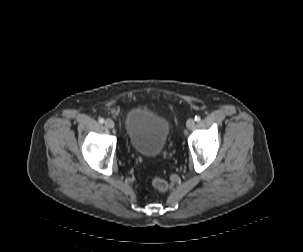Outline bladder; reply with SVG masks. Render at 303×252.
Listing matches in <instances>:
<instances>
[{
    "label": "bladder",
    "instance_id": "31cf9c89",
    "mask_svg": "<svg viewBox=\"0 0 303 252\" xmlns=\"http://www.w3.org/2000/svg\"><path fill=\"white\" fill-rule=\"evenodd\" d=\"M170 131L166 119L145 109H132L125 117V132L129 146L145 158H154L164 149Z\"/></svg>",
    "mask_w": 303,
    "mask_h": 252
}]
</instances>
